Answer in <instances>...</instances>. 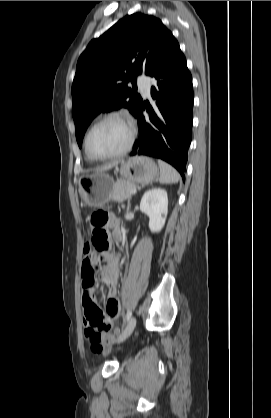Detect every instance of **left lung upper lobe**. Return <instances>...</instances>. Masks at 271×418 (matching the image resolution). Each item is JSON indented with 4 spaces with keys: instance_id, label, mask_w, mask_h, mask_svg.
<instances>
[{
    "instance_id": "obj_1",
    "label": "left lung upper lobe",
    "mask_w": 271,
    "mask_h": 418,
    "mask_svg": "<svg viewBox=\"0 0 271 418\" xmlns=\"http://www.w3.org/2000/svg\"><path fill=\"white\" fill-rule=\"evenodd\" d=\"M172 37L158 18L138 12L89 43L79 57L72 84L79 147L88 125L101 111L126 107L136 115L142 98L127 82L134 83L142 72L150 76Z\"/></svg>"
}]
</instances>
